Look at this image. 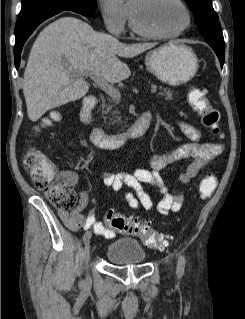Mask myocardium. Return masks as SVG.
<instances>
[{
	"label": "myocardium",
	"mask_w": 245,
	"mask_h": 319,
	"mask_svg": "<svg viewBox=\"0 0 245 319\" xmlns=\"http://www.w3.org/2000/svg\"><path fill=\"white\" fill-rule=\"evenodd\" d=\"M175 1L183 8L186 14V23L181 29L171 33H161V32L152 31L146 28L141 23L137 12L129 6L128 10H129V16H130V24L134 32H136L137 34L143 37L151 38V39H174L184 34L190 28L192 24V15L188 6L184 3L183 0H175Z\"/></svg>",
	"instance_id": "1"
}]
</instances>
